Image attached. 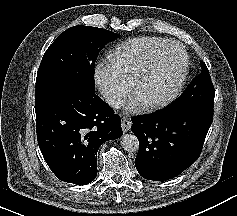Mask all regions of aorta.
<instances>
[{"mask_svg":"<svg viewBox=\"0 0 237 216\" xmlns=\"http://www.w3.org/2000/svg\"><path fill=\"white\" fill-rule=\"evenodd\" d=\"M120 145L127 152H137L139 150V139L134 134L123 133L120 138Z\"/></svg>","mask_w":237,"mask_h":216,"instance_id":"1","label":"aorta"}]
</instances>
